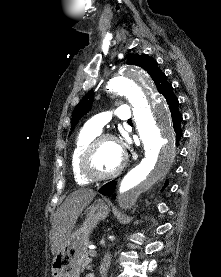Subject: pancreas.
I'll return each instance as SVG.
<instances>
[{
	"label": "pancreas",
	"instance_id": "pancreas-1",
	"mask_svg": "<svg viewBox=\"0 0 221 277\" xmlns=\"http://www.w3.org/2000/svg\"><path fill=\"white\" fill-rule=\"evenodd\" d=\"M95 255H96V253L93 250H88L86 252V258L82 264L83 268H88V269L91 268L90 264H91L92 259L89 256H95Z\"/></svg>",
	"mask_w": 221,
	"mask_h": 277
}]
</instances>
